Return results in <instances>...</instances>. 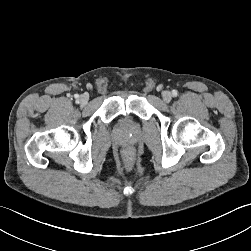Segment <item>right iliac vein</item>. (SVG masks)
I'll return each mask as SVG.
<instances>
[{
    "label": "right iliac vein",
    "instance_id": "1",
    "mask_svg": "<svg viewBox=\"0 0 251 251\" xmlns=\"http://www.w3.org/2000/svg\"><path fill=\"white\" fill-rule=\"evenodd\" d=\"M88 100H89V96L87 94H82L79 97V102H80L81 105H86Z\"/></svg>",
    "mask_w": 251,
    "mask_h": 251
}]
</instances>
